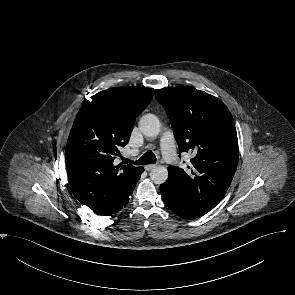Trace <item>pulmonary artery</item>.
<instances>
[{
  "label": "pulmonary artery",
  "instance_id": "obj_1",
  "mask_svg": "<svg viewBox=\"0 0 295 295\" xmlns=\"http://www.w3.org/2000/svg\"><path fill=\"white\" fill-rule=\"evenodd\" d=\"M160 146L162 155L166 161L170 164H173L176 160V148L174 144V138L171 132H165L160 140Z\"/></svg>",
  "mask_w": 295,
  "mask_h": 295
}]
</instances>
